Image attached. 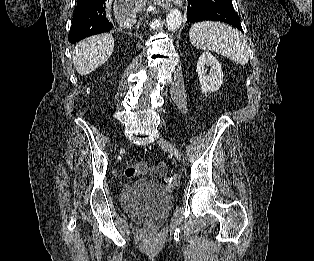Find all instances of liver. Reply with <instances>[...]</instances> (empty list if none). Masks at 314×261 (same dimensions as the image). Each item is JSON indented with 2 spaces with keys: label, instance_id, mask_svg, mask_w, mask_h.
<instances>
[{
  "label": "liver",
  "instance_id": "6515ba94",
  "mask_svg": "<svg viewBox=\"0 0 314 261\" xmlns=\"http://www.w3.org/2000/svg\"><path fill=\"white\" fill-rule=\"evenodd\" d=\"M114 50L111 34H101L80 41L73 52V63L80 75H87L105 63Z\"/></svg>",
  "mask_w": 314,
  "mask_h": 261
}]
</instances>
